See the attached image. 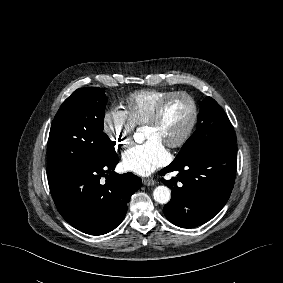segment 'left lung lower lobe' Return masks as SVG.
Returning <instances> with one entry per match:
<instances>
[{"label":"left lung lower lobe","instance_id":"1","mask_svg":"<svg viewBox=\"0 0 283 283\" xmlns=\"http://www.w3.org/2000/svg\"><path fill=\"white\" fill-rule=\"evenodd\" d=\"M237 146L208 149L172 162L161 176L178 171L175 178L161 181L172 190L164 206L166 218L182 228H193L212 219L226 204L233 189Z\"/></svg>","mask_w":283,"mask_h":283}]
</instances>
